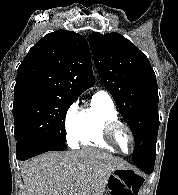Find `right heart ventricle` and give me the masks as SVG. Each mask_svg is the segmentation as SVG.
Returning a JSON list of instances; mask_svg holds the SVG:
<instances>
[{"instance_id": "obj_1", "label": "right heart ventricle", "mask_w": 178, "mask_h": 195, "mask_svg": "<svg viewBox=\"0 0 178 195\" xmlns=\"http://www.w3.org/2000/svg\"><path fill=\"white\" fill-rule=\"evenodd\" d=\"M118 120V112L111 97L105 93H96L90 105L82 112L79 143L83 146L116 152L104 139L106 125Z\"/></svg>"}]
</instances>
